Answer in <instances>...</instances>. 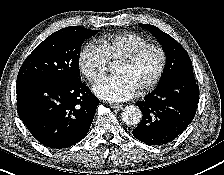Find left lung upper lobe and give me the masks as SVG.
<instances>
[{
    "instance_id": "1",
    "label": "left lung upper lobe",
    "mask_w": 224,
    "mask_h": 175,
    "mask_svg": "<svg viewBox=\"0 0 224 175\" xmlns=\"http://www.w3.org/2000/svg\"><path fill=\"white\" fill-rule=\"evenodd\" d=\"M149 30L162 45L166 55V65L161 82L182 73H193L192 63L186 50L174 38L149 24H139Z\"/></svg>"
}]
</instances>
